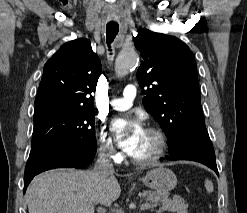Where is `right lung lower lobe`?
I'll list each match as a JSON object with an SVG mask.
<instances>
[{
	"label": "right lung lower lobe",
	"instance_id": "right-lung-lower-lobe-1",
	"mask_svg": "<svg viewBox=\"0 0 247 213\" xmlns=\"http://www.w3.org/2000/svg\"><path fill=\"white\" fill-rule=\"evenodd\" d=\"M96 149H76L69 140L48 145L29 155L24 173V193L33 177L53 168H85L93 160Z\"/></svg>",
	"mask_w": 247,
	"mask_h": 213
}]
</instances>
